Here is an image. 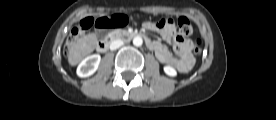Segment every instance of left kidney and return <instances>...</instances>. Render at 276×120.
I'll use <instances>...</instances> for the list:
<instances>
[{
  "instance_id": "left-kidney-1",
  "label": "left kidney",
  "mask_w": 276,
  "mask_h": 120,
  "mask_svg": "<svg viewBox=\"0 0 276 120\" xmlns=\"http://www.w3.org/2000/svg\"><path fill=\"white\" fill-rule=\"evenodd\" d=\"M164 71L169 76H176L177 74L176 70L171 66H165Z\"/></svg>"
}]
</instances>
